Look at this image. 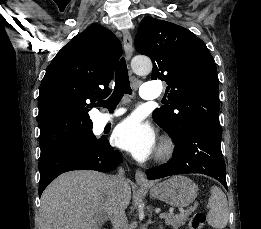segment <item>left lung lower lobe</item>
Listing matches in <instances>:
<instances>
[{"instance_id":"left-lung-lower-lobe-1","label":"left lung lower lobe","mask_w":261,"mask_h":229,"mask_svg":"<svg viewBox=\"0 0 261 229\" xmlns=\"http://www.w3.org/2000/svg\"><path fill=\"white\" fill-rule=\"evenodd\" d=\"M221 138L220 128L206 123L190 125L180 140H174V158L148 169L147 178L155 180L177 174L200 173L217 179L227 189Z\"/></svg>"}]
</instances>
